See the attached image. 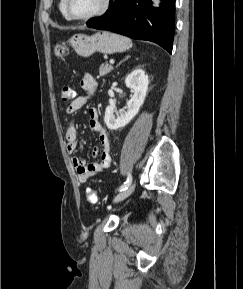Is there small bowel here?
I'll list each match as a JSON object with an SVG mask.
<instances>
[{
	"label": "small bowel",
	"instance_id": "c3829d8e",
	"mask_svg": "<svg viewBox=\"0 0 243 289\" xmlns=\"http://www.w3.org/2000/svg\"><path fill=\"white\" fill-rule=\"evenodd\" d=\"M81 86L87 92V96L74 98L66 108L69 115L75 114L81 109L87 101L93 96L98 88V82L90 74H85L81 79ZM90 129L98 134L99 145L94 149L93 155L98 160L88 164L83 158L73 157L71 164L77 172V180L85 184L91 177L96 176L110 166V142L107 131L99 121V115L96 108L91 107L88 110ZM66 150L69 154H74L78 147L77 128L71 123L65 132Z\"/></svg>",
	"mask_w": 243,
	"mask_h": 289
}]
</instances>
